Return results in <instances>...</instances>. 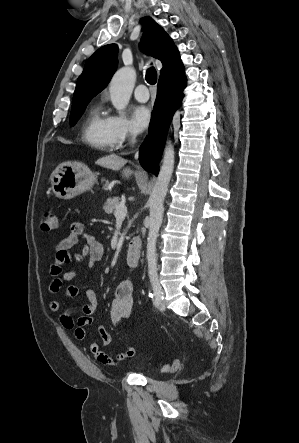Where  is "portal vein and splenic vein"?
<instances>
[{"label":"portal vein and splenic vein","instance_id":"portal-vein-and-splenic-vein-1","mask_svg":"<svg viewBox=\"0 0 299 443\" xmlns=\"http://www.w3.org/2000/svg\"><path fill=\"white\" fill-rule=\"evenodd\" d=\"M127 215V207L124 204H120L115 208L114 216L116 220H124Z\"/></svg>","mask_w":299,"mask_h":443}]
</instances>
